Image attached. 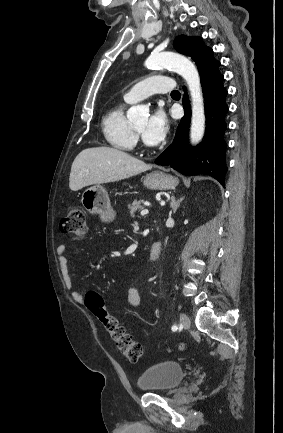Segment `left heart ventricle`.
<instances>
[{"label":"left heart ventricle","instance_id":"left-heart-ventricle-1","mask_svg":"<svg viewBox=\"0 0 283 433\" xmlns=\"http://www.w3.org/2000/svg\"><path fill=\"white\" fill-rule=\"evenodd\" d=\"M147 124V119L142 120L141 122L134 125V127L139 131L142 132Z\"/></svg>","mask_w":283,"mask_h":433}]
</instances>
